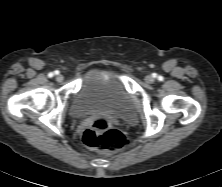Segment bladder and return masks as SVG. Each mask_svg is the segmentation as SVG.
<instances>
[{
	"instance_id": "31cf9c89",
	"label": "bladder",
	"mask_w": 222,
	"mask_h": 187,
	"mask_svg": "<svg viewBox=\"0 0 222 187\" xmlns=\"http://www.w3.org/2000/svg\"><path fill=\"white\" fill-rule=\"evenodd\" d=\"M98 112L125 121L135 116L133 100L112 69H97L89 73L69 106L70 116L74 119Z\"/></svg>"
}]
</instances>
